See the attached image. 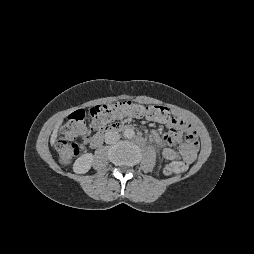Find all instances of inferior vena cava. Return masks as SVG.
Returning <instances> with one entry per match:
<instances>
[{
	"instance_id": "1",
	"label": "inferior vena cava",
	"mask_w": 254,
	"mask_h": 254,
	"mask_svg": "<svg viewBox=\"0 0 254 254\" xmlns=\"http://www.w3.org/2000/svg\"><path fill=\"white\" fill-rule=\"evenodd\" d=\"M104 138H105V143L113 144L120 139V135L117 131L110 130L105 133Z\"/></svg>"
}]
</instances>
